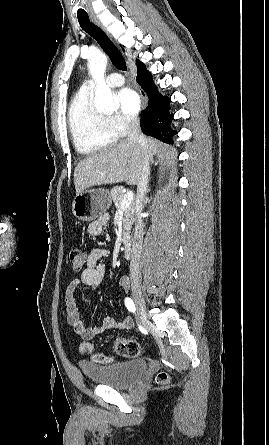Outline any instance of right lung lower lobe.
I'll return each instance as SVG.
<instances>
[{
    "mask_svg": "<svg viewBox=\"0 0 269 445\" xmlns=\"http://www.w3.org/2000/svg\"><path fill=\"white\" fill-rule=\"evenodd\" d=\"M137 82L147 94L149 101L147 110L141 113V129L145 135L152 136L165 143L172 142V137L177 134L176 130L170 129L173 114L169 113L168 96L163 97L157 90L151 74L145 65L137 61Z\"/></svg>",
    "mask_w": 269,
    "mask_h": 445,
    "instance_id": "1",
    "label": "right lung lower lobe"
}]
</instances>
